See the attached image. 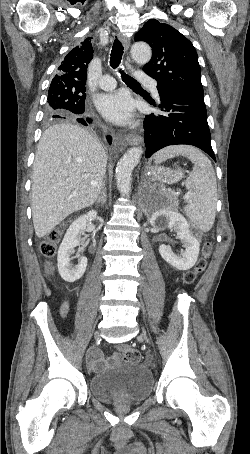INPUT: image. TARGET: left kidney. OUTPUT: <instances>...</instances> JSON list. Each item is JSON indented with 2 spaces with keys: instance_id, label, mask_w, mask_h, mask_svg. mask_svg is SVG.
<instances>
[{
  "instance_id": "1",
  "label": "left kidney",
  "mask_w": 250,
  "mask_h": 454,
  "mask_svg": "<svg viewBox=\"0 0 250 454\" xmlns=\"http://www.w3.org/2000/svg\"><path fill=\"white\" fill-rule=\"evenodd\" d=\"M164 217L167 227L173 229L177 238L181 240L185 251L179 256L175 254L168 246L161 244L159 253L162 258L178 270H188L192 268L198 258L200 242L198 237L191 231L187 220L176 210L167 208L156 211L150 218L154 223L158 218Z\"/></svg>"
}]
</instances>
